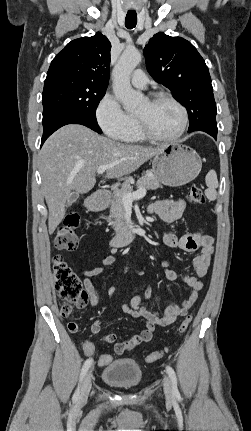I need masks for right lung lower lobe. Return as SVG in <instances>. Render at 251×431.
I'll return each mask as SVG.
<instances>
[{"label":"right lung lower lobe","instance_id":"obj_1","mask_svg":"<svg viewBox=\"0 0 251 431\" xmlns=\"http://www.w3.org/2000/svg\"><path fill=\"white\" fill-rule=\"evenodd\" d=\"M67 124H81L99 134L102 133L100 127L98 126L97 120H92L75 113H60L43 121V137L41 146L53 132Z\"/></svg>","mask_w":251,"mask_h":431}]
</instances>
